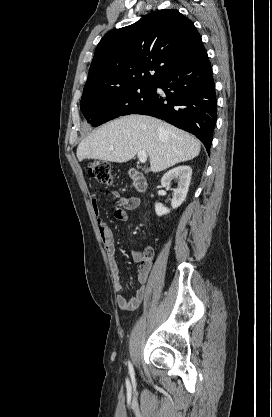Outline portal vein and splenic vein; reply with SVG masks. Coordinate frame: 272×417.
Masks as SVG:
<instances>
[{"label":"portal vein and splenic vein","instance_id":"18ae733b","mask_svg":"<svg viewBox=\"0 0 272 417\" xmlns=\"http://www.w3.org/2000/svg\"><path fill=\"white\" fill-rule=\"evenodd\" d=\"M137 155H138V159H139V162L140 163H145L146 162V160H147V153H146V151H139L138 153H137Z\"/></svg>","mask_w":272,"mask_h":417}]
</instances>
